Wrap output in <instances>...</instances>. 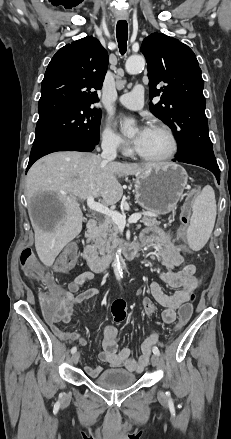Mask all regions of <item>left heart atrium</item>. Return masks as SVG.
<instances>
[{
    "label": "left heart atrium",
    "mask_w": 231,
    "mask_h": 439,
    "mask_svg": "<svg viewBox=\"0 0 231 439\" xmlns=\"http://www.w3.org/2000/svg\"><path fill=\"white\" fill-rule=\"evenodd\" d=\"M128 124H129L128 119L123 120V122H122L123 127H126ZM148 130H149V128L143 127L141 129H139V131L133 137L132 144L136 149L141 144V142H142L143 138L145 137V135L147 134Z\"/></svg>",
    "instance_id": "obj_1"
}]
</instances>
